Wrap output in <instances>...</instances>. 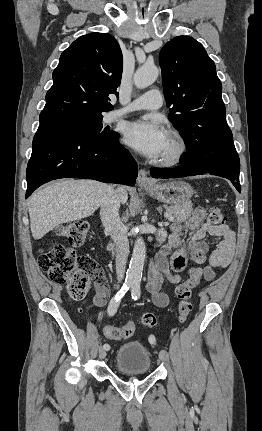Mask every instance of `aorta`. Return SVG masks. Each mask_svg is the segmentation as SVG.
Returning a JSON list of instances; mask_svg holds the SVG:
<instances>
[{
    "mask_svg": "<svg viewBox=\"0 0 262 431\" xmlns=\"http://www.w3.org/2000/svg\"><path fill=\"white\" fill-rule=\"evenodd\" d=\"M158 75L159 70L155 65H143L134 74V84L137 88H146L155 82ZM145 256V242L142 237H138L134 243L132 257L127 270V281L133 286H139L141 282Z\"/></svg>",
    "mask_w": 262,
    "mask_h": 431,
    "instance_id": "762f6f07",
    "label": "aorta"
}]
</instances>
